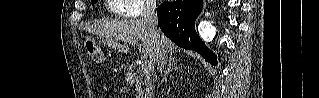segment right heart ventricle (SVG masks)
Instances as JSON below:
<instances>
[{"mask_svg": "<svg viewBox=\"0 0 319 98\" xmlns=\"http://www.w3.org/2000/svg\"><path fill=\"white\" fill-rule=\"evenodd\" d=\"M111 9L116 13H121L126 7V1L124 0H111L110 1Z\"/></svg>", "mask_w": 319, "mask_h": 98, "instance_id": "obj_1", "label": "right heart ventricle"}]
</instances>
